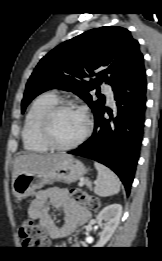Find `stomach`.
I'll return each instance as SVG.
<instances>
[{
  "label": "stomach",
  "instance_id": "0dacf381",
  "mask_svg": "<svg viewBox=\"0 0 162 261\" xmlns=\"http://www.w3.org/2000/svg\"><path fill=\"white\" fill-rule=\"evenodd\" d=\"M85 173L86 168L81 161L66 155L47 170L19 174L12 183L13 194L20 200L26 199L48 183L59 180L75 182Z\"/></svg>",
  "mask_w": 162,
  "mask_h": 261
}]
</instances>
